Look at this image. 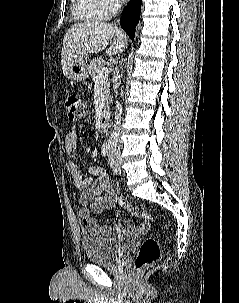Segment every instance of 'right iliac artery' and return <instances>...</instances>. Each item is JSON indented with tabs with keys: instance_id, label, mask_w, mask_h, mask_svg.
<instances>
[{
	"instance_id": "82829eb1",
	"label": "right iliac artery",
	"mask_w": 239,
	"mask_h": 303,
	"mask_svg": "<svg viewBox=\"0 0 239 303\" xmlns=\"http://www.w3.org/2000/svg\"><path fill=\"white\" fill-rule=\"evenodd\" d=\"M110 150V144L108 142H105L102 146L101 153L103 156H107Z\"/></svg>"
}]
</instances>
